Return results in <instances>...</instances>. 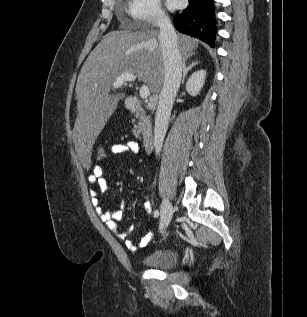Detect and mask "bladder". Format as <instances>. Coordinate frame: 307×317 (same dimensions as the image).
<instances>
[{
	"label": "bladder",
	"instance_id": "bladder-1",
	"mask_svg": "<svg viewBox=\"0 0 307 317\" xmlns=\"http://www.w3.org/2000/svg\"><path fill=\"white\" fill-rule=\"evenodd\" d=\"M139 262L151 269L169 268L177 264L178 253L174 249H160L142 257Z\"/></svg>",
	"mask_w": 307,
	"mask_h": 317
}]
</instances>
